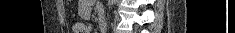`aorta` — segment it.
<instances>
[{
  "mask_svg": "<svg viewBox=\"0 0 235 33\" xmlns=\"http://www.w3.org/2000/svg\"><path fill=\"white\" fill-rule=\"evenodd\" d=\"M108 6H109V9L111 8V6L113 5V2H114V0H108Z\"/></svg>",
  "mask_w": 235,
  "mask_h": 33,
  "instance_id": "aorta-1",
  "label": "aorta"
}]
</instances>
